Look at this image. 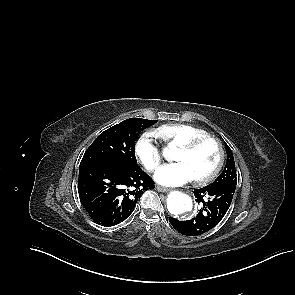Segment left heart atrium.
Returning a JSON list of instances; mask_svg holds the SVG:
<instances>
[{
    "label": "left heart atrium",
    "instance_id": "39dd6f15",
    "mask_svg": "<svg viewBox=\"0 0 295 295\" xmlns=\"http://www.w3.org/2000/svg\"><path fill=\"white\" fill-rule=\"evenodd\" d=\"M154 178L159 184L165 186H180L195 179L191 169L184 162L160 167L156 171Z\"/></svg>",
    "mask_w": 295,
    "mask_h": 295
}]
</instances>
